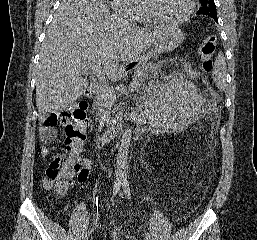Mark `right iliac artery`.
Segmentation results:
<instances>
[{
  "mask_svg": "<svg viewBox=\"0 0 257 240\" xmlns=\"http://www.w3.org/2000/svg\"><path fill=\"white\" fill-rule=\"evenodd\" d=\"M121 181L119 180H116L115 181V185H114V188H113V195H112V198H111V201H113L114 197L117 195V193L119 192L120 190V187H121ZM98 219V218H97ZM93 228H91L90 230H88L83 238V240H88L89 237H90V234H91V231H92Z\"/></svg>",
  "mask_w": 257,
  "mask_h": 240,
  "instance_id": "82829eb1",
  "label": "right iliac artery"
}]
</instances>
